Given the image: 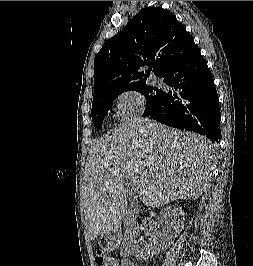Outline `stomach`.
<instances>
[{"mask_svg": "<svg viewBox=\"0 0 253 266\" xmlns=\"http://www.w3.org/2000/svg\"><path fill=\"white\" fill-rule=\"evenodd\" d=\"M100 246L106 250L112 249L114 247V243L109 242L106 237H102L100 239Z\"/></svg>", "mask_w": 253, "mask_h": 266, "instance_id": "0dacf381", "label": "stomach"}]
</instances>
